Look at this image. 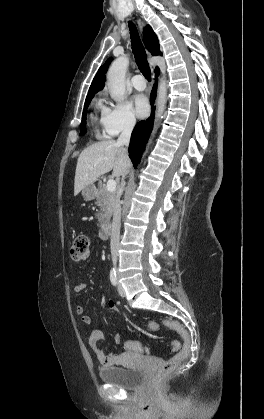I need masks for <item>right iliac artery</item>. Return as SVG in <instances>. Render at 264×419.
Wrapping results in <instances>:
<instances>
[{
    "instance_id": "1",
    "label": "right iliac artery",
    "mask_w": 264,
    "mask_h": 419,
    "mask_svg": "<svg viewBox=\"0 0 264 419\" xmlns=\"http://www.w3.org/2000/svg\"><path fill=\"white\" fill-rule=\"evenodd\" d=\"M110 281H111L113 286H116L117 283H118L115 269H112L110 271Z\"/></svg>"
}]
</instances>
